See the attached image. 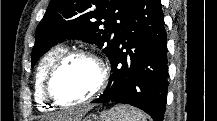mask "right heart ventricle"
Instances as JSON below:
<instances>
[{
  "mask_svg": "<svg viewBox=\"0 0 217 121\" xmlns=\"http://www.w3.org/2000/svg\"><path fill=\"white\" fill-rule=\"evenodd\" d=\"M67 49L65 46L59 45L48 51L41 59L36 75H35V87L34 96L36 103L40 109L53 110L54 107L50 104L44 93V86L47 73L51 66L61 57Z\"/></svg>",
  "mask_w": 217,
  "mask_h": 121,
  "instance_id": "obj_1",
  "label": "right heart ventricle"
}]
</instances>
